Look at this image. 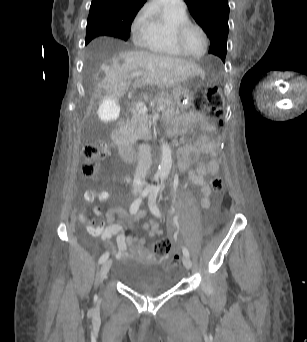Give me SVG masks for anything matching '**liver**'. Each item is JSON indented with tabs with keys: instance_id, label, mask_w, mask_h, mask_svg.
Wrapping results in <instances>:
<instances>
[{
	"instance_id": "1",
	"label": "liver",
	"mask_w": 307,
	"mask_h": 342,
	"mask_svg": "<svg viewBox=\"0 0 307 342\" xmlns=\"http://www.w3.org/2000/svg\"><path fill=\"white\" fill-rule=\"evenodd\" d=\"M114 56H103L97 74H105L101 84L110 95L123 98L133 88H143L147 84H155L162 88H175L184 80L198 74L199 68L194 62L182 58L151 54V52H131V50H114ZM137 80H130V74H139Z\"/></svg>"
}]
</instances>
